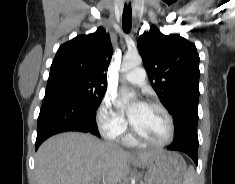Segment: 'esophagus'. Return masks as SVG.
<instances>
[{
	"label": "esophagus",
	"instance_id": "esophagus-1",
	"mask_svg": "<svg viewBox=\"0 0 235 184\" xmlns=\"http://www.w3.org/2000/svg\"><path fill=\"white\" fill-rule=\"evenodd\" d=\"M128 2L130 1V0H127ZM133 16L135 17L136 15H135V11H133Z\"/></svg>",
	"mask_w": 235,
	"mask_h": 184
}]
</instances>
